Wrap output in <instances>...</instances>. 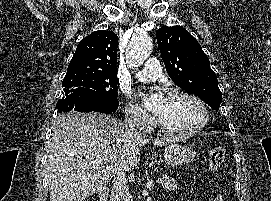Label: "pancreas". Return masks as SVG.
Here are the masks:
<instances>
[{
  "label": "pancreas",
  "instance_id": "obj_1",
  "mask_svg": "<svg viewBox=\"0 0 271 201\" xmlns=\"http://www.w3.org/2000/svg\"><path fill=\"white\" fill-rule=\"evenodd\" d=\"M177 185L178 184L176 180L167 176L164 177V180L162 182V187L167 191L176 190L178 188Z\"/></svg>",
  "mask_w": 271,
  "mask_h": 201
}]
</instances>
